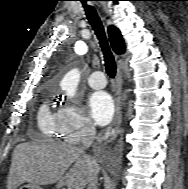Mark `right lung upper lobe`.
Listing matches in <instances>:
<instances>
[{"instance_id":"right-lung-upper-lobe-1","label":"right lung upper lobe","mask_w":188,"mask_h":189,"mask_svg":"<svg viewBox=\"0 0 188 189\" xmlns=\"http://www.w3.org/2000/svg\"><path fill=\"white\" fill-rule=\"evenodd\" d=\"M108 35L111 46L115 53L122 54L125 51V43L118 28L114 26L108 27Z\"/></svg>"}]
</instances>
